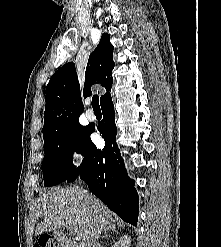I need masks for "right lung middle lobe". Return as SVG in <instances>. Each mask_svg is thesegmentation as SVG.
<instances>
[{
    "instance_id": "1",
    "label": "right lung middle lobe",
    "mask_w": 221,
    "mask_h": 247,
    "mask_svg": "<svg viewBox=\"0 0 221 247\" xmlns=\"http://www.w3.org/2000/svg\"><path fill=\"white\" fill-rule=\"evenodd\" d=\"M89 140V127L82 126L79 122L44 138L45 157L41 168L45 186L57 185L70 176L76 168L72 164L73 153L84 156Z\"/></svg>"
}]
</instances>
